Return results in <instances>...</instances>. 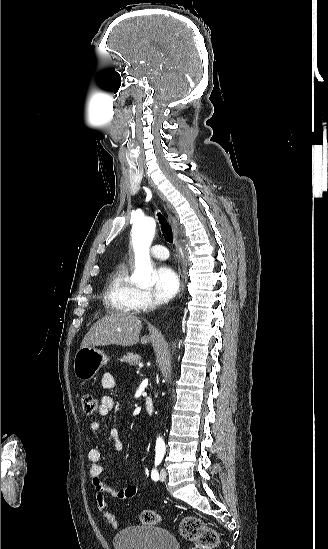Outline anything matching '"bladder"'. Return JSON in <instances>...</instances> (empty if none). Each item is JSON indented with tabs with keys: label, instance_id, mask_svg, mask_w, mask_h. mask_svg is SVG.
Returning <instances> with one entry per match:
<instances>
[{
	"label": "bladder",
	"instance_id": "1",
	"mask_svg": "<svg viewBox=\"0 0 328 549\" xmlns=\"http://www.w3.org/2000/svg\"><path fill=\"white\" fill-rule=\"evenodd\" d=\"M116 549H177L172 533L152 526H136L114 537Z\"/></svg>",
	"mask_w": 328,
	"mask_h": 549
}]
</instances>
